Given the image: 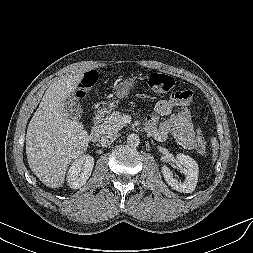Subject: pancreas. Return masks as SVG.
I'll return each instance as SVG.
<instances>
[{
	"label": "pancreas",
	"instance_id": "pancreas-1",
	"mask_svg": "<svg viewBox=\"0 0 253 253\" xmlns=\"http://www.w3.org/2000/svg\"><path fill=\"white\" fill-rule=\"evenodd\" d=\"M125 126L126 124L123 121L121 112L115 111L105 119L104 123L100 126V132L102 134H116Z\"/></svg>",
	"mask_w": 253,
	"mask_h": 253
}]
</instances>
